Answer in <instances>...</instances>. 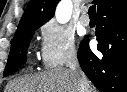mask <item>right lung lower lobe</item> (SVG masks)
<instances>
[{"mask_svg": "<svg viewBox=\"0 0 127 92\" xmlns=\"http://www.w3.org/2000/svg\"><path fill=\"white\" fill-rule=\"evenodd\" d=\"M100 53L87 37L80 43L82 70L101 92H127V6L98 14L96 33Z\"/></svg>", "mask_w": 127, "mask_h": 92, "instance_id": "right-lung-lower-lobe-1", "label": "right lung lower lobe"}]
</instances>
